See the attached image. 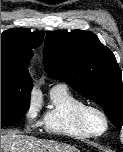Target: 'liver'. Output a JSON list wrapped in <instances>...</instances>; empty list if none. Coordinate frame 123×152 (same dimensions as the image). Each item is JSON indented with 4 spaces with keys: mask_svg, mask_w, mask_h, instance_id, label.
I'll use <instances>...</instances> for the list:
<instances>
[{
    "mask_svg": "<svg viewBox=\"0 0 123 152\" xmlns=\"http://www.w3.org/2000/svg\"><path fill=\"white\" fill-rule=\"evenodd\" d=\"M1 152H80L75 147L16 132H1Z\"/></svg>",
    "mask_w": 123,
    "mask_h": 152,
    "instance_id": "liver-1",
    "label": "liver"
}]
</instances>
